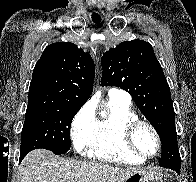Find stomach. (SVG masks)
<instances>
[{
  "label": "stomach",
  "instance_id": "obj_1",
  "mask_svg": "<svg viewBox=\"0 0 196 182\" xmlns=\"http://www.w3.org/2000/svg\"><path fill=\"white\" fill-rule=\"evenodd\" d=\"M125 182H163L162 174L156 171H138Z\"/></svg>",
  "mask_w": 196,
  "mask_h": 182
}]
</instances>
